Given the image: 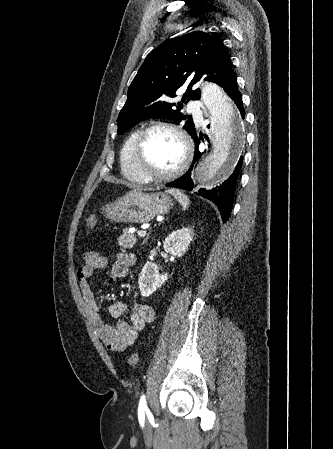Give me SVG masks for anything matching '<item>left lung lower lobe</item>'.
<instances>
[{"label":"left lung lower lobe","instance_id":"obj_1","mask_svg":"<svg viewBox=\"0 0 333 449\" xmlns=\"http://www.w3.org/2000/svg\"><path fill=\"white\" fill-rule=\"evenodd\" d=\"M221 87L224 88L226 93L236 103L242 117L244 118L245 112L242 106V96L238 91L236 84V76L233 72L224 80ZM191 137L193 138L196 147L195 156L193 158V164L191 168L182 177L178 178L177 180L169 184H166L167 187H177L188 191H191L193 189L194 184L191 179V171L194 163H196L202 157L203 152L199 151V144L202 138L198 137L196 133L192 134ZM242 159L243 158L241 156L239 162L237 163V166L235 167L234 172L222 185L212 190L201 188L198 191V193L196 192V194L211 200L218 206L224 223L228 220V218L231 215L236 182L240 168L242 167Z\"/></svg>","mask_w":333,"mask_h":449}]
</instances>
